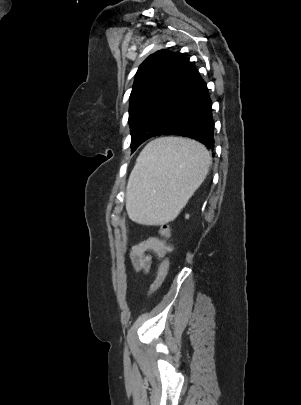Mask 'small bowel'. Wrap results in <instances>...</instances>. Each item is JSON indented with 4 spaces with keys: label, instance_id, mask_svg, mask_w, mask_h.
Wrapping results in <instances>:
<instances>
[{
    "label": "small bowel",
    "instance_id": "obj_1",
    "mask_svg": "<svg viewBox=\"0 0 301 405\" xmlns=\"http://www.w3.org/2000/svg\"><path fill=\"white\" fill-rule=\"evenodd\" d=\"M172 247L159 237H148L135 244L130 252L133 268L136 272H149L152 266L151 253L164 257Z\"/></svg>",
    "mask_w": 301,
    "mask_h": 405
}]
</instances>
